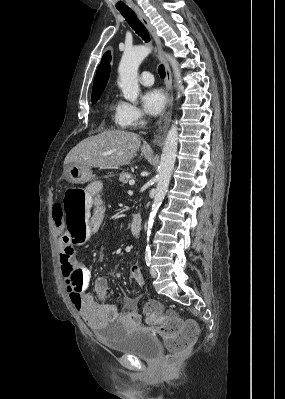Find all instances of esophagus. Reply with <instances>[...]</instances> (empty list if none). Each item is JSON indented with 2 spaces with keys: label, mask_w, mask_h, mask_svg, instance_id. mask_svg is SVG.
Here are the masks:
<instances>
[{
  "label": "esophagus",
  "mask_w": 285,
  "mask_h": 399,
  "mask_svg": "<svg viewBox=\"0 0 285 399\" xmlns=\"http://www.w3.org/2000/svg\"><path fill=\"white\" fill-rule=\"evenodd\" d=\"M134 11L136 12L138 18L140 19V21L143 23V25L147 28V30L150 32V34L152 35L153 39L155 40L158 49H159V59L162 62V64L164 65L165 68V73H166V77H165V84H166V88H167V99H168V112L164 117L165 120V124L166 127L169 126L170 123V119H171V107L173 104V96L171 94V89H172V75H171V70L169 67L168 62L166 61L163 52H162V44H161V40L159 38V36L157 35L156 29L154 28V26L150 23L149 19L145 16V14L142 12V10L138 7V6H134L133 7Z\"/></svg>",
  "instance_id": "34e87169"
}]
</instances>
